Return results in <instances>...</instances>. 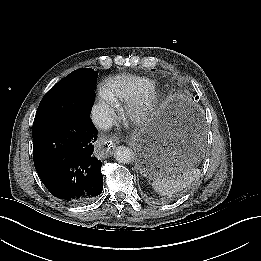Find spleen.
Segmentation results:
<instances>
[{
  "label": "spleen",
  "instance_id": "spleen-1",
  "mask_svg": "<svg viewBox=\"0 0 261 261\" xmlns=\"http://www.w3.org/2000/svg\"><path fill=\"white\" fill-rule=\"evenodd\" d=\"M199 174V169L187 168L182 171V174L178 173L176 177L167 175L163 178H156L152 186L160 195H172L189 187Z\"/></svg>",
  "mask_w": 261,
  "mask_h": 261
}]
</instances>
